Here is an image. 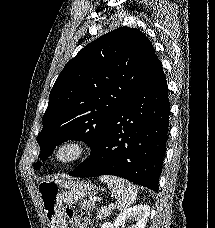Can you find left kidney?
I'll list each match as a JSON object with an SVG mask.
<instances>
[{
    "instance_id": "5707ae66",
    "label": "left kidney",
    "mask_w": 215,
    "mask_h": 228,
    "mask_svg": "<svg viewBox=\"0 0 215 228\" xmlns=\"http://www.w3.org/2000/svg\"><path fill=\"white\" fill-rule=\"evenodd\" d=\"M149 216L150 208L145 206V204H139V206H133V208L123 210L112 226L113 228H125L127 222H129V228H145Z\"/></svg>"
}]
</instances>
